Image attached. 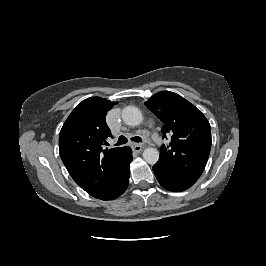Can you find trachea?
Returning <instances> with one entry per match:
<instances>
[{"instance_id":"obj_1","label":"trachea","mask_w":266,"mask_h":266,"mask_svg":"<svg viewBox=\"0 0 266 266\" xmlns=\"http://www.w3.org/2000/svg\"><path fill=\"white\" fill-rule=\"evenodd\" d=\"M131 140L134 141V142H141L142 141L141 137H139V136H134V137L131 138ZM127 141L128 140H127V138L125 136H120L115 145L119 146V145H122V144H126Z\"/></svg>"}]
</instances>
